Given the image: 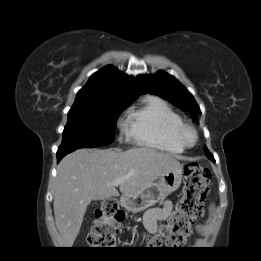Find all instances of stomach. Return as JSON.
Instances as JSON below:
<instances>
[{"mask_svg": "<svg viewBox=\"0 0 261 261\" xmlns=\"http://www.w3.org/2000/svg\"><path fill=\"white\" fill-rule=\"evenodd\" d=\"M182 180V166L165 172L158 182L152 183L137 194L123 195L121 205L128 211L137 213L154 206L167 194L177 190Z\"/></svg>", "mask_w": 261, "mask_h": 261, "instance_id": "0dacf381", "label": "stomach"}]
</instances>
